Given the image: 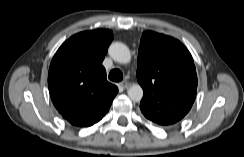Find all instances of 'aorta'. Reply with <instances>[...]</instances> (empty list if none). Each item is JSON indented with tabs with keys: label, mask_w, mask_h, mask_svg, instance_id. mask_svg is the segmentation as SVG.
Returning <instances> with one entry per match:
<instances>
[{
	"label": "aorta",
	"mask_w": 244,
	"mask_h": 157,
	"mask_svg": "<svg viewBox=\"0 0 244 157\" xmlns=\"http://www.w3.org/2000/svg\"><path fill=\"white\" fill-rule=\"evenodd\" d=\"M108 53L114 61L121 64H127L131 60L129 48L120 42L112 43L109 47ZM127 93L133 102H139L143 97V89L139 84H133L130 86Z\"/></svg>",
	"instance_id": "obj_1"
}]
</instances>
